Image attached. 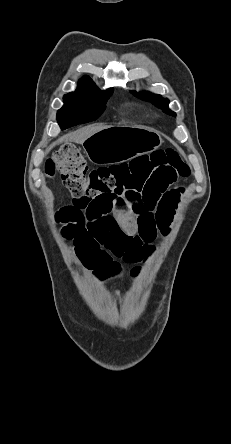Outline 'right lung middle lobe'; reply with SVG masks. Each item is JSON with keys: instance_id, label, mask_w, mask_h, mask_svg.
Listing matches in <instances>:
<instances>
[{"instance_id": "dd1d6c3e", "label": "right lung middle lobe", "mask_w": 231, "mask_h": 444, "mask_svg": "<svg viewBox=\"0 0 231 444\" xmlns=\"http://www.w3.org/2000/svg\"><path fill=\"white\" fill-rule=\"evenodd\" d=\"M113 89L101 93H69L64 96V106L57 113L62 129L96 120L105 108Z\"/></svg>"}]
</instances>
